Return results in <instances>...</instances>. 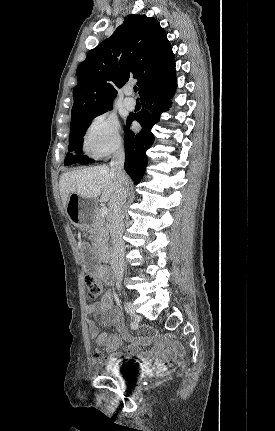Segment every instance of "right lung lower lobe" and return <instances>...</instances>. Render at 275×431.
Wrapping results in <instances>:
<instances>
[{"mask_svg": "<svg viewBox=\"0 0 275 431\" xmlns=\"http://www.w3.org/2000/svg\"><path fill=\"white\" fill-rule=\"evenodd\" d=\"M176 87L177 81L174 69L163 81L140 96L143 106L142 111L129 117L127 121L124 138V169L135 184H138L144 175L148 161L145 153L154 142L151 128L159 121L161 113L168 110L169 100L174 95ZM134 119L142 126V130L138 134H134L129 130V126Z\"/></svg>", "mask_w": 275, "mask_h": 431, "instance_id": "right-lung-lower-lobe-1", "label": "right lung lower lobe"}]
</instances>
